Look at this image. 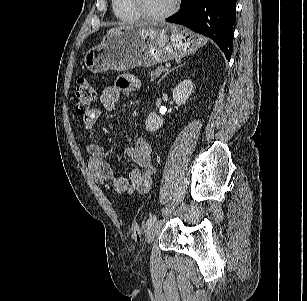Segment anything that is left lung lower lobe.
Segmentation results:
<instances>
[{"instance_id": "left-lung-lower-lobe-1", "label": "left lung lower lobe", "mask_w": 307, "mask_h": 301, "mask_svg": "<svg viewBox=\"0 0 307 301\" xmlns=\"http://www.w3.org/2000/svg\"><path fill=\"white\" fill-rule=\"evenodd\" d=\"M182 8L167 21L182 24L213 39L230 60L233 49L235 0H182Z\"/></svg>"}]
</instances>
